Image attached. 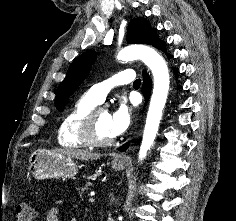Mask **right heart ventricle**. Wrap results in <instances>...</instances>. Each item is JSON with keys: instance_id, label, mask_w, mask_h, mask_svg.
<instances>
[{"instance_id": "obj_1", "label": "right heart ventricle", "mask_w": 236, "mask_h": 221, "mask_svg": "<svg viewBox=\"0 0 236 221\" xmlns=\"http://www.w3.org/2000/svg\"><path fill=\"white\" fill-rule=\"evenodd\" d=\"M98 105L88 94L79 97L63 116L57 131V141L66 149L87 148L79 135L80 124L83 118Z\"/></svg>"}]
</instances>
